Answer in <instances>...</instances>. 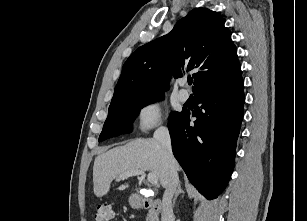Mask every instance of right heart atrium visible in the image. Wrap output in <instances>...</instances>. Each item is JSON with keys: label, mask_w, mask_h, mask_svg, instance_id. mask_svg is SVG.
Returning <instances> with one entry per match:
<instances>
[{"label": "right heart atrium", "mask_w": 307, "mask_h": 221, "mask_svg": "<svg viewBox=\"0 0 307 221\" xmlns=\"http://www.w3.org/2000/svg\"><path fill=\"white\" fill-rule=\"evenodd\" d=\"M138 126L142 131L154 128L161 122V104L158 101L146 103L138 112Z\"/></svg>", "instance_id": "1"}]
</instances>
